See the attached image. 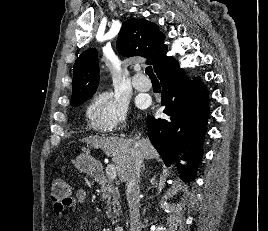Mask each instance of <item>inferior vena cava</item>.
Instances as JSON below:
<instances>
[{
  "instance_id": "1",
  "label": "inferior vena cava",
  "mask_w": 268,
  "mask_h": 231,
  "mask_svg": "<svg viewBox=\"0 0 268 231\" xmlns=\"http://www.w3.org/2000/svg\"><path fill=\"white\" fill-rule=\"evenodd\" d=\"M142 158L137 150H132L131 164L125 172L124 181L126 182V197L130 216L129 231H141L142 224L140 221V168Z\"/></svg>"
}]
</instances>
